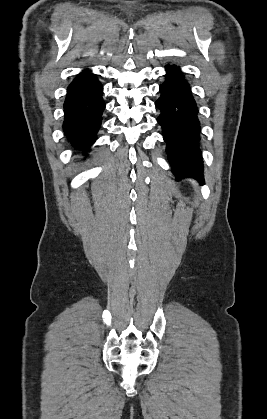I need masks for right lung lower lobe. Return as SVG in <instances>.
Segmentation results:
<instances>
[{
  "mask_svg": "<svg viewBox=\"0 0 267 419\" xmlns=\"http://www.w3.org/2000/svg\"><path fill=\"white\" fill-rule=\"evenodd\" d=\"M103 86L89 70L78 74L67 88L63 131L70 145L84 152L96 141L105 102Z\"/></svg>",
  "mask_w": 267,
  "mask_h": 419,
  "instance_id": "1",
  "label": "right lung lower lobe"
}]
</instances>
